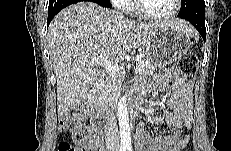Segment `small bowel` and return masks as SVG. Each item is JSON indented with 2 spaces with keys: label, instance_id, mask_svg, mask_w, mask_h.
I'll use <instances>...</instances> for the list:
<instances>
[{
  "label": "small bowel",
  "instance_id": "small-bowel-1",
  "mask_svg": "<svg viewBox=\"0 0 231 151\" xmlns=\"http://www.w3.org/2000/svg\"><path fill=\"white\" fill-rule=\"evenodd\" d=\"M187 84L176 70H168L153 80L148 89L165 92V103L171 108L164 116L163 124L169 130L165 136L151 135L147 132L145 124L138 126L136 134L137 151H177L188 143V136L182 135L181 128H190L192 121V99ZM143 93L145 88H140ZM82 146L85 151H104L101 139V130L96 126V118H90L87 128V138Z\"/></svg>",
  "mask_w": 231,
  "mask_h": 151
}]
</instances>
